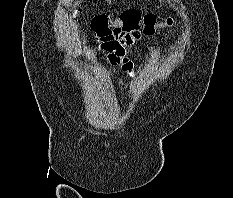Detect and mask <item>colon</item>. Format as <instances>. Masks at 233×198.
Here are the masks:
<instances>
[{
  "instance_id": "5ec220e1",
  "label": "colon",
  "mask_w": 233,
  "mask_h": 198,
  "mask_svg": "<svg viewBox=\"0 0 233 198\" xmlns=\"http://www.w3.org/2000/svg\"><path fill=\"white\" fill-rule=\"evenodd\" d=\"M172 19L160 22L153 14H142L139 10L130 9L122 12L120 16L110 21L106 16H96L91 21V30L97 40H102L117 31L139 32L145 35L153 34L157 29L171 26Z\"/></svg>"
}]
</instances>
